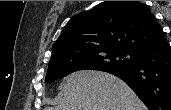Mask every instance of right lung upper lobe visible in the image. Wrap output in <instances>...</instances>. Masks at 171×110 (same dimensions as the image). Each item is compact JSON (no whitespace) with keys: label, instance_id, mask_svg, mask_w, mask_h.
<instances>
[{"label":"right lung upper lobe","instance_id":"right-lung-upper-lobe-1","mask_svg":"<svg viewBox=\"0 0 171 110\" xmlns=\"http://www.w3.org/2000/svg\"><path fill=\"white\" fill-rule=\"evenodd\" d=\"M164 39L156 18L143 3L104 1L66 24L52 47L51 58L104 48L138 52Z\"/></svg>","mask_w":171,"mask_h":110}]
</instances>
